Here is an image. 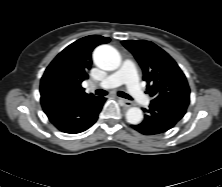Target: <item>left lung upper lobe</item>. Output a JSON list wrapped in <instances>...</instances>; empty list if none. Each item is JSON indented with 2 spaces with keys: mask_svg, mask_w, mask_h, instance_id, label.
Listing matches in <instances>:
<instances>
[{
  "mask_svg": "<svg viewBox=\"0 0 222 187\" xmlns=\"http://www.w3.org/2000/svg\"><path fill=\"white\" fill-rule=\"evenodd\" d=\"M122 44L134 55L143 70V80L153 100L167 98L189 99L186 77L173 58L150 41L128 40Z\"/></svg>",
  "mask_w": 222,
  "mask_h": 187,
  "instance_id": "left-lung-upper-lobe-1",
  "label": "left lung upper lobe"
}]
</instances>
